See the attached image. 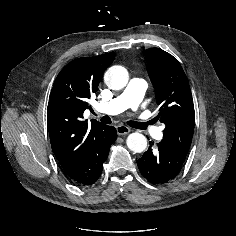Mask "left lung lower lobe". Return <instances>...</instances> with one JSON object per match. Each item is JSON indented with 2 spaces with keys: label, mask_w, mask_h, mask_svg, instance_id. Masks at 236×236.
<instances>
[{
  "label": "left lung lower lobe",
  "mask_w": 236,
  "mask_h": 236,
  "mask_svg": "<svg viewBox=\"0 0 236 236\" xmlns=\"http://www.w3.org/2000/svg\"><path fill=\"white\" fill-rule=\"evenodd\" d=\"M150 143L149 149L138 160L141 174L152 184H163L175 178L185 161V157L169 148L164 143Z\"/></svg>",
  "instance_id": "1"
}]
</instances>
